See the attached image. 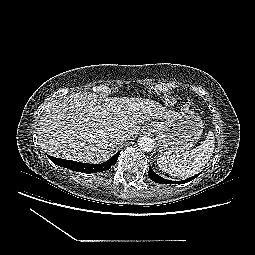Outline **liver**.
I'll return each instance as SVG.
<instances>
[{"mask_svg":"<svg viewBox=\"0 0 255 255\" xmlns=\"http://www.w3.org/2000/svg\"><path fill=\"white\" fill-rule=\"evenodd\" d=\"M175 112L157 101L133 97H109L72 93L50 101L41 116L38 137L49 155L86 163H100L127 139L137 135L139 124L149 119H167Z\"/></svg>","mask_w":255,"mask_h":255,"instance_id":"6515ba94","label":"liver"}]
</instances>
